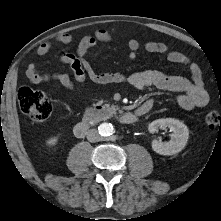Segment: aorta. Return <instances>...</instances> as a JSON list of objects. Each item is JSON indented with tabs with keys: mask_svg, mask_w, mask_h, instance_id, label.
I'll return each instance as SVG.
<instances>
[{
	"mask_svg": "<svg viewBox=\"0 0 221 221\" xmlns=\"http://www.w3.org/2000/svg\"><path fill=\"white\" fill-rule=\"evenodd\" d=\"M99 133L102 136H109L113 132V126L109 123H103L99 126Z\"/></svg>",
	"mask_w": 221,
	"mask_h": 221,
	"instance_id": "aorta-1",
	"label": "aorta"
}]
</instances>
